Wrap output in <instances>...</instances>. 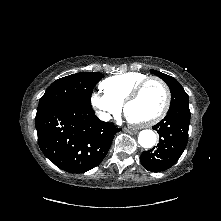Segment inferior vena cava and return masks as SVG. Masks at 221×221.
Masks as SVG:
<instances>
[{
    "mask_svg": "<svg viewBox=\"0 0 221 221\" xmlns=\"http://www.w3.org/2000/svg\"><path fill=\"white\" fill-rule=\"evenodd\" d=\"M99 118L103 121H109L111 119V116L108 113L99 112Z\"/></svg>",
    "mask_w": 221,
    "mask_h": 221,
    "instance_id": "inferior-vena-cava-1",
    "label": "inferior vena cava"
}]
</instances>
